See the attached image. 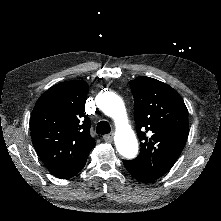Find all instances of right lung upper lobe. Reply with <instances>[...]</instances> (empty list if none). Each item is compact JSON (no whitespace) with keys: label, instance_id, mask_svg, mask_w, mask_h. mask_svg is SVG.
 I'll use <instances>...</instances> for the list:
<instances>
[{"label":"right lung upper lobe","instance_id":"right-lung-upper-lobe-1","mask_svg":"<svg viewBox=\"0 0 221 221\" xmlns=\"http://www.w3.org/2000/svg\"><path fill=\"white\" fill-rule=\"evenodd\" d=\"M88 84L83 80L56 84L37 100L31 114L34 148L51 174L70 178L86 164L95 146L91 121L84 115Z\"/></svg>","mask_w":221,"mask_h":221}]
</instances>
